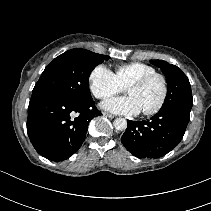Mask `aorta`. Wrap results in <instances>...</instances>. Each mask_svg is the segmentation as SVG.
I'll use <instances>...</instances> for the list:
<instances>
[{
  "mask_svg": "<svg viewBox=\"0 0 211 211\" xmlns=\"http://www.w3.org/2000/svg\"><path fill=\"white\" fill-rule=\"evenodd\" d=\"M116 130H125L127 128V121L124 118H117L113 123Z\"/></svg>",
  "mask_w": 211,
  "mask_h": 211,
  "instance_id": "762f6f07",
  "label": "aorta"
}]
</instances>
